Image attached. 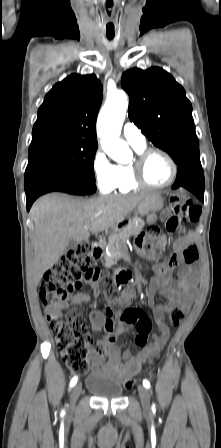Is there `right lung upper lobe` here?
Wrapping results in <instances>:
<instances>
[{
	"instance_id": "right-lung-upper-lobe-1",
	"label": "right lung upper lobe",
	"mask_w": 221,
	"mask_h": 448,
	"mask_svg": "<svg viewBox=\"0 0 221 448\" xmlns=\"http://www.w3.org/2000/svg\"><path fill=\"white\" fill-rule=\"evenodd\" d=\"M102 102L97 77L71 74L55 84L38 110L29 148L61 141H96V119Z\"/></svg>"
}]
</instances>
